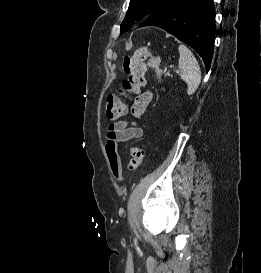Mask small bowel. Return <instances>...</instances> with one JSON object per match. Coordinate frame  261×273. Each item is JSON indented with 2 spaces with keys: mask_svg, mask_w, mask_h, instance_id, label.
Wrapping results in <instances>:
<instances>
[{
  "mask_svg": "<svg viewBox=\"0 0 261 273\" xmlns=\"http://www.w3.org/2000/svg\"><path fill=\"white\" fill-rule=\"evenodd\" d=\"M153 99V93L146 90L139 94L133 103L132 114L141 118ZM143 136V130L134 123L118 121L108 126L105 152L109 161L111 173L116 180H122V165L118 154V144L139 139Z\"/></svg>",
  "mask_w": 261,
  "mask_h": 273,
  "instance_id": "small-bowel-1",
  "label": "small bowel"
}]
</instances>
